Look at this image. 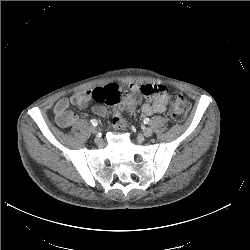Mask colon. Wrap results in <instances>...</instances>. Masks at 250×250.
Returning <instances> with one entry per match:
<instances>
[{"label": "colon", "mask_w": 250, "mask_h": 250, "mask_svg": "<svg viewBox=\"0 0 250 250\" xmlns=\"http://www.w3.org/2000/svg\"><path fill=\"white\" fill-rule=\"evenodd\" d=\"M141 93L137 91L122 90L116 84H109L104 87L95 88L92 91V98L107 104L115 109L113 123L118 129L125 126L120 116V111H132L141 100ZM190 109V103L182 93H173L170 98V116L175 121H182Z\"/></svg>", "instance_id": "colon-1"}]
</instances>
